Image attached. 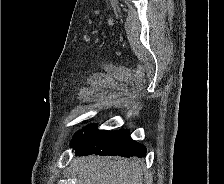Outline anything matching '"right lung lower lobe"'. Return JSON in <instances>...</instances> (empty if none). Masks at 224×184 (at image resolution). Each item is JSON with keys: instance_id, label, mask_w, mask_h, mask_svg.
<instances>
[{"instance_id": "98d812e1", "label": "right lung lower lobe", "mask_w": 224, "mask_h": 184, "mask_svg": "<svg viewBox=\"0 0 224 184\" xmlns=\"http://www.w3.org/2000/svg\"><path fill=\"white\" fill-rule=\"evenodd\" d=\"M75 155H112L124 157H144L146 148L129 136V130L94 129L73 145Z\"/></svg>"}]
</instances>
